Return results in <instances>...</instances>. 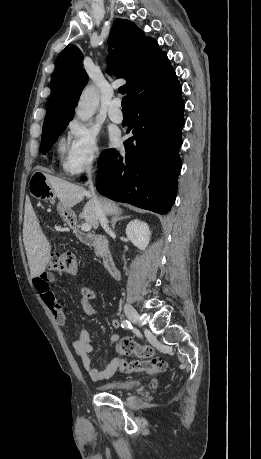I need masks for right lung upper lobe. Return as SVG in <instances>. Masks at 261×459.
Listing matches in <instances>:
<instances>
[{"label": "right lung upper lobe", "mask_w": 261, "mask_h": 459, "mask_svg": "<svg viewBox=\"0 0 261 459\" xmlns=\"http://www.w3.org/2000/svg\"><path fill=\"white\" fill-rule=\"evenodd\" d=\"M108 44L110 65L118 77L127 80L119 91L130 94V104L155 96L177 82L167 55L157 42L146 37L132 22L117 19L111 29ZM79 48L68 45L58 56L51 79L43 128L69 123L88 76L82 67Z\"/></svg>", "instance_id": "right-lung-upper-lobe-1"}]
</instances>
